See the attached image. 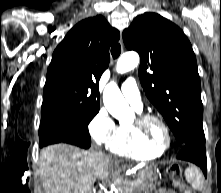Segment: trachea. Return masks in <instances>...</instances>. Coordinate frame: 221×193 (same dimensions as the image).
<instances>
[{
	"instance_id": "1",
	"label": "trachea",
	"mask_w": 221,
	"mask_h": 193,
	"mask_svg": "<svg viewBox=\"0 0 221 193\" xmlns=\"http://www.w3.org/2000/svg\"><path fill=\"white\" fill-rule=\"evenodd\" d=\"M120 53H121V46H120V44H115L114 46H112L111 54H112L114 59L118 58Z\"/></svg>"
}]
</instances>
